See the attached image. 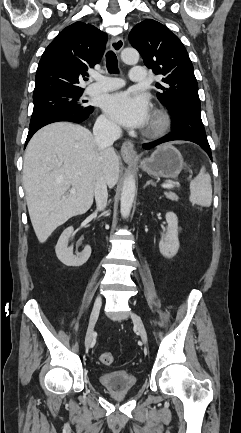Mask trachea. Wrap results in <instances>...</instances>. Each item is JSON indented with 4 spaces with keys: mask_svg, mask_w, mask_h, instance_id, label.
Returning a JSON list of instances; mask_svg holds the SVG:
<instances>
[{
    "mask_svg": "<svg viewBox=\"0 0 241 433\" xmlns=\"http://www.w3.org/2000/svg\"><path fill=\"white\" fill-rule=\"evenodd\" d=\"M106 67L109 73L116 74L119 72L117 56L113 51H108L106 54Z\"/></svg>",
    "mask_w": 241,
    "mask_h": 433,
    "instance_id": "3493384b",
    "label": "trachea"
}]
</instances>
